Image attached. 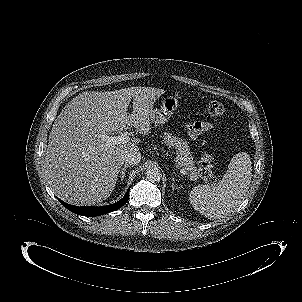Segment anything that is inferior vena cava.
<instances>
[{
    "instance_id": "obj_1",
    "label": "inferior vena cava",
    "mask_w": 302,
    "mask_h": 302,
    "mask_svg": "<svg viewBox=\"0 0 302 302\" xmlns=\"http://www.w3.org/2000/svg\"><path fill=\"white\" fill-rule=\"evenodd\" d=\"M123 160L127 165L133 166L141 161V154L136 150H130L124 154Z\"/></svg>"
}]
</instances>
